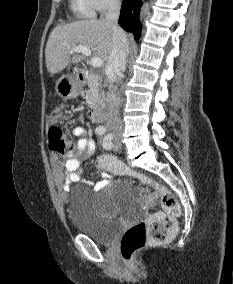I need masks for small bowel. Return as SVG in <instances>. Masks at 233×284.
<instances>
[{
    "instance_id": "c3829d8e",
    "label": "small bowel",
    "mask_w": 233,
    "mask_h": 284,
    "mask_svg": "<svg viewBox=\"0 0 233 284\" xmlns=\"http://www.w3.org/2000/svg\"><path fill=\"white\" fill-rule=\"evenodd\" d=\"M72 134L78 138L76 151L66 154L63 162L56 158L52 160L54 182L61 192H66L71 183L80 180L82 163L95 152V142L87 135L83 127L74 126ZM108 180V176L103 175L101 180L96 184V189L103 187Z\"/></svg>"
}]
</instances>
